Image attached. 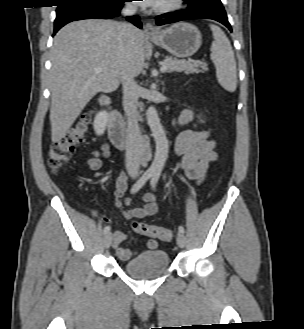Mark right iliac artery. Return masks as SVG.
Instances as JSON below:
<instances>
[{
	"label": "right iliac artery",
	"instance_id": "obj_1",
	"mask_svg": "<svg viewBox=\"0 0 304 329\" xmlns=\"http://www.w3.org/2000/svg\"><path fill=\"white\" fill-rule=\"evenodd\" d=\"M153 173L151 171H146L137 181L136 183L132 186L131 188V193H136L139 191L142 186L152 177ZM111 227L106 226L103 230L104 234H107L110 231Z\"/></svg>",
	"mask_w": 304,
	"mask_h": 329
}]
</instances>
